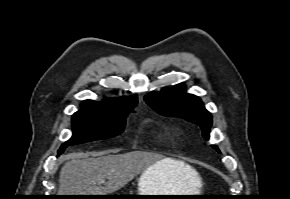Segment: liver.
<instances>
[{
    "instance_id": "obj_1",
    "label": "liver",
    "mask_w": 290,
    "mask_h": 199,
    "mask_svg": "<svg viewBox=\"0 0 290 199\" xmlns=\"http://www.w3.org/2000/svg\"><path fill=\"white\" fill-rule=\"evenodd\" d=\"M158 169L173 177V193H194L201 180L190 165L152 152L132 151L97 158L72 159L60 171L59 195H108L134 179L147 168ZM105 183V186L101 184ZM199 180V181H198Z\"/></svg>"
}]
</instances>
